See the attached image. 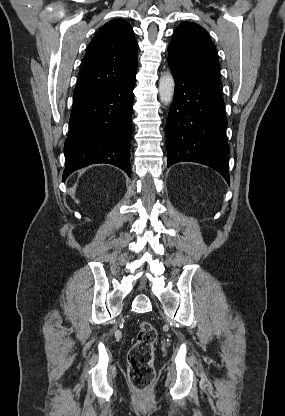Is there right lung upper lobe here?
<instances>
[{
  "label": "right lung upper lobe",
  "instance_id": "1",
  "mask_svg": "<svg viewBox=\"0 0 285 416\" xmlns=\"http://www.w3.org/2000/svg\"><path fill=\"white\" fill-rule=\"evenodd\" d=\"M137 50L134 32L126 21L103 25L88 47L73 101L107 91L136 74Z\"/></svg>",
  "mask_w": 285,
  "mask_h": 416
}]
</instances>
